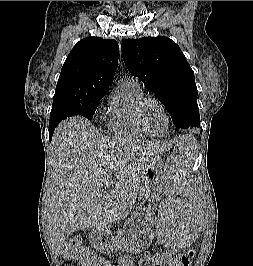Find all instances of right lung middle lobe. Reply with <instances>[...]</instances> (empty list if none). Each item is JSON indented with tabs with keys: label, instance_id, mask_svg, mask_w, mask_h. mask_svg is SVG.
Segmentation results:
<instances>
[{
	"label": "right lung middle lobe",
	"instance_id": "1",
	"mask_svg": "<svg viewBox=\"0 0 253 266\" xmlns=\"http://www.w3.org/2000/svg\"><path fill=\"white\" fill-rule=\"evenodd\" d=\"M105 94L106 92H99L83 98L53 100L50 124L60 123L73 115H82L90 120L98 102Z\"/></svg>",
	"mask_w": 253,
	"mask_h": 266
}]
</instances>
